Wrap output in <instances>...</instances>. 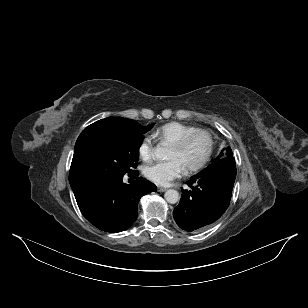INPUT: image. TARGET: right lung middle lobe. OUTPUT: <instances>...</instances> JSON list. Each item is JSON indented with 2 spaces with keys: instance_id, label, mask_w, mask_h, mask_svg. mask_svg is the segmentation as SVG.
<instances>
[{
  "instance_id": "dd1d6c3e",
  "label": "right lung middle lobe",
  "mask_w": 308,
  "mask_h": 308,
  "mask_svg": "<svg viewBox=\"0 0 308 308\" xmlns=\"http://www.w3.org/2000/svg\"><path fill=\"white\" fill-rule=\"evenodd\" d=\"M146 127L136 123L121 130H107L88 137L79 150L78 168L84 176L120 177L134 174Z\"/></svg>"
}]
</instances>
